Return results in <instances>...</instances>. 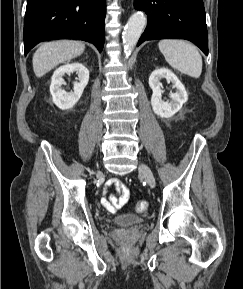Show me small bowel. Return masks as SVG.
<instances>
[{"label":"small bowel","mask_w":243,"mask_h":289,"mask_svg":"<svg viewBox=\"0 0 243 289\" xmlns=\"http://www.w3.org/2000/svg\"><path fill=\"white\" fill-rule=\"evenodd\" d=\"M108 186L114 188L115 192L101 199L102 206L109 212H116L125 205L129 197L127 186L118 178L109 181Z\"/></svg>","instance_id":"1"}]
</instances>
